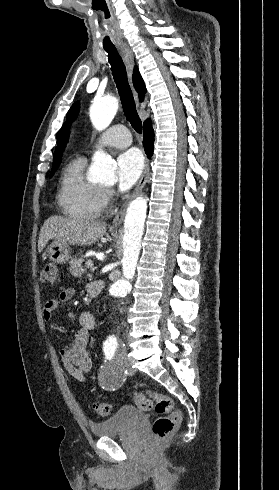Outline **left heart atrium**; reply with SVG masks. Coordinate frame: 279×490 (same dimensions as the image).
<instances>
[{
	"instance_id": "left-heart-atrium-1",
	"label": "left heart atrium",
	"mask_w": 279,
	"mask_h": 490,
	"mask_svg": "<svg viewBox=\"0 0 279 490\" xmlns=\"http://www.w3.org/2000/svg\"><path fill=\"white\" fill-rule=\"evenodd\" d=\"M144 161L138 150L122 153L117 159V185L120 191L129 190L142 175Z\"/></svg>"
}]
</instances>
